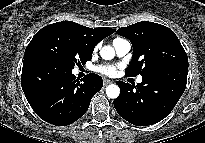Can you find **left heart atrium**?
I'll list each match as a JSON object with an SVG mask.
<instances>
[{
  "label": "left heart atrium",
  "mask_w": 205,
  "mask_h": 143,
  "mask_svg": "<svg viewBox=\"0 0 205 143\" xmlns=\"http://www.w3.org/2000/svg\"><path fill=\"white\" fill-rule=\"evenodd\" d=\"M98 71L107 76H113L116 72V68L111 65H104V66H99Z\"/></svg>",
  "instance_id": "obj_1"
}]
</instances>
